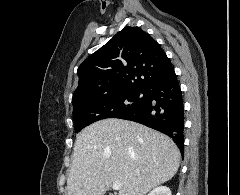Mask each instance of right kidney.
Returning <instances> with one entry per match:
<instances>
[{
  "mask_svg": "<svg viewBox=\"0 0 240 195\" xmlns=\"http://www.w3.org/2000/svg\"><path fill=\"white\" fill-rule=\"evenodd\" d=\"M148 195H171V191L167 185H159V187L152 189Z\"/></svg>",
  "mask_w": 240,
  "mask_h": 195,
  "instance_id": "1",
  "label": "right kidney"
}]
</instances>
